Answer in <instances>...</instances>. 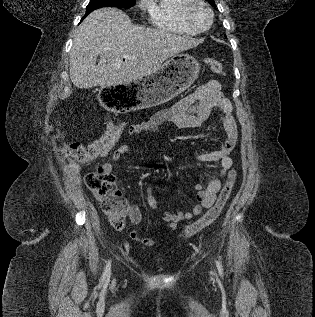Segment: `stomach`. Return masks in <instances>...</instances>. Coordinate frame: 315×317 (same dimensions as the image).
Instances as JSON below:
<instances>
[{"label": "stomach", "mask_w": 315, "mask_h": 317, "mask_svg": "<svg viewBox=\"0 0 315 317\" xmlns=\"http://www.w3.org/2000/svg\"><path fill=\"white\" fill-rule=\"evenodd\" d=\"M200 64L191 55L180 53L171 57L155 73L132 84H107L101 88L102 103L113 114H128L164 104L188 89L198 78Z\"/></svg>", "instance_id": "stomach-1"}]
</instances>
